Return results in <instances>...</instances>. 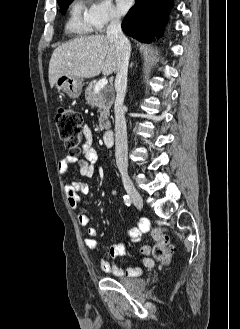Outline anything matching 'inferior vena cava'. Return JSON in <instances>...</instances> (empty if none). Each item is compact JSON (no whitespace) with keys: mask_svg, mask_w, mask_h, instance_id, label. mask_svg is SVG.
I'll use <instances>...</instances> for the list:
<instances>
[{"mask_svg":"<svg viewBox=\"0 0 240 329\" xmlns=\"http://www.w3.org/2000/svg\"><path fill=\"white\" fill-rule=\"evenodd\" d=\"M107 37L114 40L117 50V74L115 79L116 99L115 111V157L117 168L122 175H127L128 168V144L127 127L124 116V97L127 87V72L131 45L123 34L121 21L118 16H113L107 27Z\"/></svg>","mask_w":240,"mask_h":329,"instance_id":"inferior-vena-cava-1","label":"inferior vena cava"}]
</instances>
